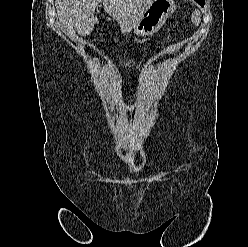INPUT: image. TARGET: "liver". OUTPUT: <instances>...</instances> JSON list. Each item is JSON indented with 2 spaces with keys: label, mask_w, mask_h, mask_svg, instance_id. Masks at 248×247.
<instances>
[{
  "label": "liver",
  "mask_w": 248,
  "mask_h": 247,
  "mask_svg": "<svg viewBox=\"0 0 248 247\" xmlns=\"http://www.w3.org/2000/svg\"><path fill=\"white\" fill-rule=\"evenodd\" d=\"M151 0H56L57 16L62 28L70 37L92 32L98 23L95 8L103 2L104 10L118 21L122 30H131L140 19L144 7Z\"/></svg>",
  "instance_id": "liver-1"
}]
</instances>
